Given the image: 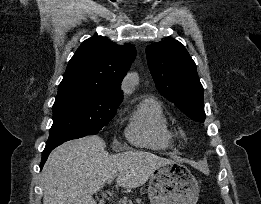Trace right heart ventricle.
<instances>
[{
	"label": "right heart ventricle",
	"instance_id": "right-heart-ventricle-1",
	"mask_svg": "<svg viewBox=\"0 0 261 204\" xmlns=\"http://www.w3.org/2000/svg\"><path fill=\"white\" fill-rule=\"evenodd\" d=\"M125 134L131 144L137 147L162 150L174 141L164 107L155 99H144L128 117Z\"/></svg>",
	"mask_w": 261,
	"mask_h": 204
}]
</instances>
